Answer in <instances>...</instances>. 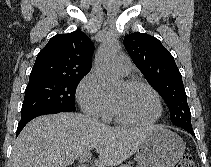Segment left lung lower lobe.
Instances as JSON below:
<instances>
[{
  "instance_id": "obj_1",
  "label": "left lung lower lobe",
  "mask_w": 211,
  "mask_h": 167,
  "mask_svg": "<svg viewBox=\"0 0 211 167\" xmlns=\"http://www.w3.org/2000/svg\"><path fill=\"white\" fill-rule=\"evenodd\" d=\"M183 129L189 132L191 135L195 136L192 128H183Z\"/></svg>"
}]
</instances>
